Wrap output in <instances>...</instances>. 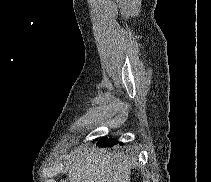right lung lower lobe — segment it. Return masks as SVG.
Segmentation results:
<instances>
[{
	"label": "right lung lower lobe",
	"mask_w": 211,
	"mask_h": 182,
	"mask_svg": "<svg viewBox=\"0 0 211 182\" xmlns=\"http://www.w3.org/2000/svg\"><path fill=\"white\" fill-rule=\"evenodd\" d=\"M117 144V142L113 139H100L99 142L97 143L98 146L100 147H112L113 145ZM120 145H123L120 143Z\"/></svg>",
	"instance_id": "98d812e1"
}]
</instances>
